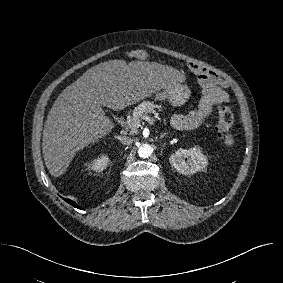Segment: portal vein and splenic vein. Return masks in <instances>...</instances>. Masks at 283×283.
<instances>
[{
  "instance_id": "1",
  "label": "portal vein and splenic vein",
  "mask_w": 283,
  "mask_h": 283,
  "mask_svg": "<svg viewBox=\"0 0 283 283\" xmlns=\"http://www.w3.org/2000/svg\"><path fill=\"white\" fill-rule=\"evenodd\" d=\"M142 119L147 121L149 124H152V125L154 124L153 119L149 116H143ZM127 126H130L129 122H127Z\"/></svg>"
}]
</instances>
